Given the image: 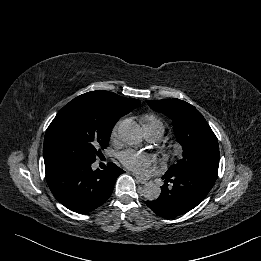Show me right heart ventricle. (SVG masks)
<instances>
[{"label":"right heart ventricle","instance_id":"obj_1","mask_svg":"<svg viewBox=\"0 0 261 261\" xmlns=\"http://www.w3.org/2000/svg\"><path fill=\"white\" fill-rule=\"evenodd\" d=\"M142 125L144 131L150 128H159L162 131V134L164 132V124L160 119H158L155 116L147 115L142 118Z\"/></svg>","mask_w":261,"mask_h":261}]
</instances>
